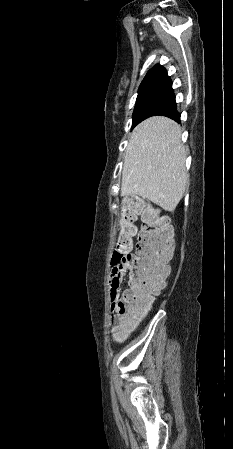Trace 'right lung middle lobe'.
<instances>
[{
	"label": "right lung middle lobe",
	"instance_id": "obj_1",
	"mask_svg": "<svg viewBox=\"0 0 233 449\" xmlns=\"http://www.w3.org/2000/svg\"><path fill=\"white\" fill-rule=\"evenodd\" d=\"M176 105L172 90H156L138 94L133 113L132 128L144 119Z\"/></svg>",
	"mask_w": 233,
	"mask_h": 449
}]
</instances>
